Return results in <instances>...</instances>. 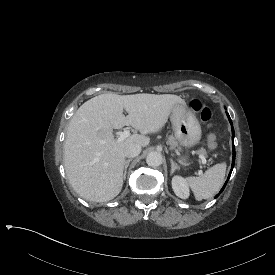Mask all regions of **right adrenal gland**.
Segmentation results:
<instances>
[{"mask_svg": "<svg viewBox=\"0 0 275 275\" xmlns=\"http://www.w3.org/2000/svg\"><path fill=\"white\" fill-rule=\"evenodd\" d=\"M132 161V159H128L126 160L125 162V165H124V175H123V179L125 180L126 179V173H127V168L129 166V163Z\"/></svg>", "mask_w": 275, "mask_h": 275, "instance_id": "1", "label": "right adrenal gland"}]
</instances>
